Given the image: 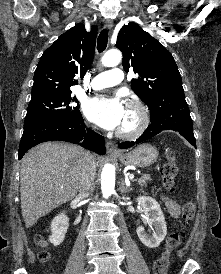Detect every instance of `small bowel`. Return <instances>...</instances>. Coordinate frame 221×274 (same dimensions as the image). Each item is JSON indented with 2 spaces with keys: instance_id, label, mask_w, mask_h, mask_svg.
Instances as JSON below:
<instances>
[{
  "instance_id": "c3829d8e",
  "label": "small bowel",
  "mask_w": 221,
  "mask_h": 274,
  "mask_svg": "<svg viewBox=\"0 0 221 274\" xmlns=\"http://www.w3.org/2000/svg\"><path fill=\"white\" fill-rule=\"evenodd\" d=\"M161 198H162V200H163V202L166 206V209H167L168 213L172 217H178L180 215V212H181V207L176 202L169 199L165 195H162Z\"/></svg>"
}]
</instances>
